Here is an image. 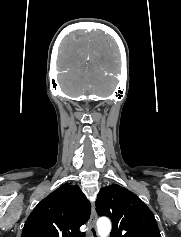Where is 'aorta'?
I'll return each instance as SVG.
<instances>
[{"mask_svg":"<svg viewBox=\"0 0 181 237\" xmlns=\"http://www.w3.org/2000/svg\"><path fill=\"white\" fill-rule=\"evenodd\" d=\"M97 229L100 237H108L111 231V222L106 217H101L97 221Z\"/></svg>","mask_w":181,"mask_h":237,"instance_id":"aorta-1","label":"aorta"}]
</instances>
